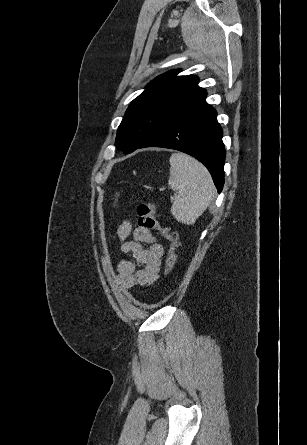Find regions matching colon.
<instances>
[{
	"mask_svg": "<svg viewBox=\"0 0 307 445\" xmlns=\"http://www.w3.org/2000/svg\"><path fill=\"white\" fill-rule=\"evenodd\" d=\"M157 206L155 202L143 203L138 207V226L148 230H155L168 242L166 255L165 275H169L173 270L177 260V249L180 245L179 235L166 226L160 225L156 220Z\"/></svg>",
	"mask_w": 307,
	"mask_h": 445,
	"instance_id": "5ec220e1",
	"label": "colon"
}]
</instances>
